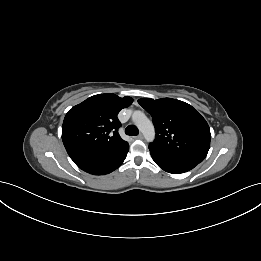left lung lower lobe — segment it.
Here are the masks:
<instances>
[{
  "label": "left lung lower lobe",
  "mask_w": 261,
  "mask_h": 261,
  "mask_svg": "<svg viewBox=\"0 0 261 261\" xmlns=\"http://www.w3.org/2000/svg\"><path fill=\"white\" fill-rule=\"evenodd\" d=\"M151 156L155 163L164 171L180 174L193 169L199 163L180 156L169 154L149 146Z\"/></svg>",
  "instance_id": "0a47b994"
}]
</instances>
